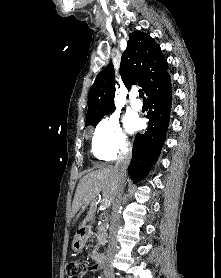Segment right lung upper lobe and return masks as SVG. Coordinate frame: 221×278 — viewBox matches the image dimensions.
<instances>
[{
    "mask_svg": "<svg viewBox=\"0 0 221 278\" xmlns=\"http://www.w3.org/2000/svg\"><path fill=\"white\" fill-rule=\"evenodd\" d=\"M168 63L157 43L140 31L129 34L127 48L122 54L119 73L127 89L138 83L146 90L167 73ZM115 79L113 64L96 77L88 96L86 124H94L115 110Z\"/></svg>",
    "mask_w": 221,
    "mask_h": 278,
    "instance_id": "obj_1",
    "label": "right lung upper lobe"
}]
</instances>
